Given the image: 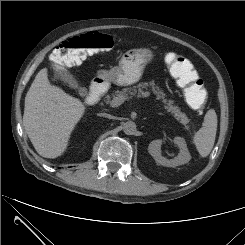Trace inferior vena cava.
<instances>
[{
    "label": "inferior vena cava",
    "mask_w": 245,
    "mask_h": 245,
    "mask_svg": "<svg viewBox=\"0 0 245 245\" xmlns=\"http://www.w3.org/2000/svg\"><path fill=\"white\" fill-rule=\"evenodd\" d=\"M101 116H104V117H107V118H110V119H114L115 117L114 116H111L110 114H106V113H103V114H100Z\"/></svg>",
    "instance_id": "obj_1"
}]
</instances>
